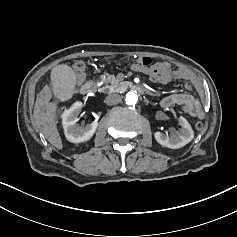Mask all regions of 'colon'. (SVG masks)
<instances>
[{"mask_svg": "<svg viewBox=\"0 0 237 237\" xmlns=\"http://www.w3.org/2000/svg\"><path fill=\"white\" fill-rule=\"evenodd\" d=\"M137 63L147 70L148 77L151 81L157 82V83H166L167 79L163 75V73L160 70L159 63H156L152 58L150 57H141L137 60ZM73 70L78 76H82L85 73L86 65L83 61H76L73 64ZM195 128L198 131L203 130L204 123L202 121H197L195 123Z\"/></svg>", "mask_w": 237, "mask_h": 237, "instance_id": "obj_1", "label": "colon"}]
</instances>
